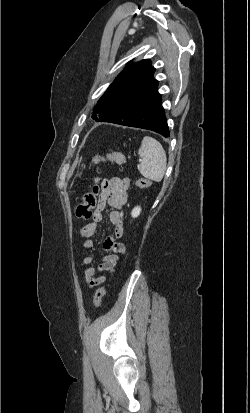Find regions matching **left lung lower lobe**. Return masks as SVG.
<instances>
[{
	"instance_id": "0a47b994",
	"label": "left lung lower lobe",
	"mask_w": 250,
	"mask_h": 413,
	"mask_svg": "<svg viewBox=\"0 0 250 413\" xmlns=\"http://www.w3.org/2000/svg\"><path fill=\"white\" fill-rule=\"evenodd\" d=\"M157 88V80L138 85L134 92L122 101L118 112L98 121L152 130L168 137V125Z\"/></svg>"
}]
</instances>
